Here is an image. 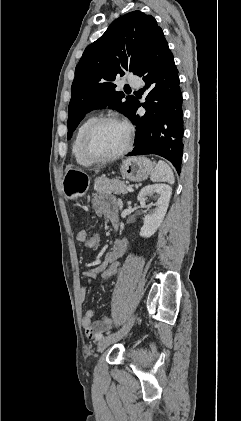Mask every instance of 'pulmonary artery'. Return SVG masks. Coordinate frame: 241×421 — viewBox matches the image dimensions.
<instances>
[{"mask_svg":"<svg viewBox=\"0 0 241 421\" xmlns=\"http://www.w3.org/2000/svg\"><path fill=\"white\" fill-rule=\"evenodd\" d=\"M127 83L135 88H139L141 85L140 79L138 77H130L127 80Z\"/></svg>","mask_w":241,"mask_h":421,"instance_id":"pulmonary-artery-1","label":"pulmonary artery"}]
</instances>
